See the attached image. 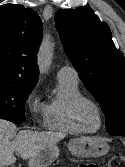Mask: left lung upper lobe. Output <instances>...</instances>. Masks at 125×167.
Returning a JSON list of instances; mask_svg holds the SVG:
<instances>
[{
    "label": "left lung upper lobe",
    "instance_id": "5c2ea615",
    "mask_svg": "<svg viewBox=\"0 0 125 167\" xmlns=\"http://www.w3.org/2000/svg\"><path fill=\"white\" fill-rule=\"evenodd\" d=\"M55 23L67 57L101 103L107 132L125 136V60L109 26L88 6L58 10Z\"/></svg>",
    "mask_w": 125,
    "mask_h": 167
}]
</instances>
